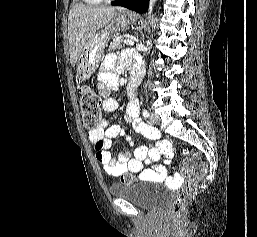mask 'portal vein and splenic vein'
I'll list each match as a JSON object with an SVG mask.
<instances>
[{
	"label": "portal vein and splenic vein",
	"instance_id": "18ae733b",
	"mask_svg": "<svg viewBox=\"0 0 257 237\" xmlns=\"http://www.w3.org/2000/svg\"><path fill=\"white\" fill-rule=\"evenodd\" d=\"M124 43L130 46L134 45V42L132 40H125Z\"/></svg>",
	"mask_w": 257,
	"mask_h": 237
}]
</instances>
